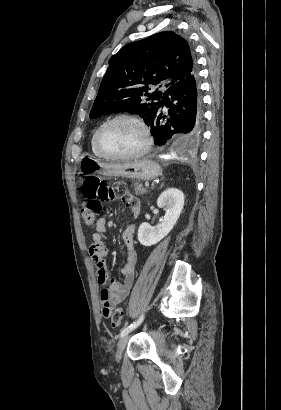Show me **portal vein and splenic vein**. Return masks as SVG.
I'll return each mask as SVG.
<instances>
[{"mask_svg": "<svg viewBox=\"0 0 281 410\" xmlns=\"http://www.w3.org/2000/svg\"><path fill=\"white\" fill-rule=\"evenodd\" d=\"M145 186H146V187H148V186H149V183H148V182H146V183H145Z\"/></svg>", "mask_w": 281, "mask_h": 410, "instance_id": "1", "label": "portal vein and splenic vein"}]
</instances>
